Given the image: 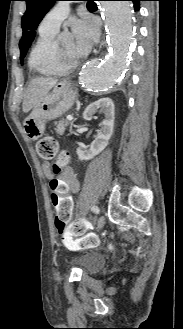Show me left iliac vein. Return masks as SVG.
Instances as JSON below:
<instances>
[{
	"label": "left iliac vein",
	"instance_id": "4c4485c4",
	"mask_svg": "<svg viewBox=\"0 0 183 329\" xmlns=\"http://www.w3.org/2000/svg\"><path fill=\"white\" fill-rule=\"evenodd\" d=\"M104 223H105V218L103 216H100L99 219H98V228H99V230L103 228Z\"/></svg>",
	"mask_w": 183,
	"mask_h": 329
}]
</instances>
